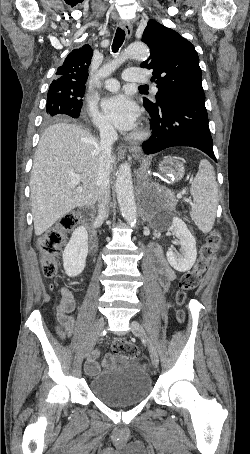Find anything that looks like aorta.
Wrapping results in <instances>:
<instances>
[{"instance_id":"aorta-1","label":"aorta","mask_w":250,"mask_h":454,"mask_svg":"<svg viewBox=\"0 0 250 454\" xmlns=\"http://www.w3.org/2000/svg\"><path fill=\"white\" fill-rule=\"evenodd\" d=\"M149 49L142 42H133L115 59L104 65L97 72L99 78L109 77L127 58L146 59ZM116 194L120 212L131 225L136 224L137 210L132 182L131 165L127 162L120 165L116 174Z\"/></svg>"}]
</instances>
